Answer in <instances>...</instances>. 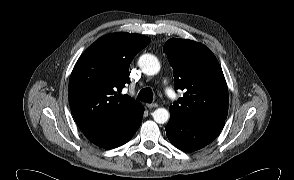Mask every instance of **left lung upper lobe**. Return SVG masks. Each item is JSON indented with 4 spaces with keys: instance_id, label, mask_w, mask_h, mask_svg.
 <instances>
[{
    "instance_id": "obj_1",
    "label": "left lung upper lobe",
    "mask_w": 294,
    "mask_h": 180,
    "mask_svg": "<svg viewBox=\"0 0 294 180\" xmlns=\"http://www.w3.org/2000/svg\"><path fill=\"white\" fill-rule=\"evenodd\" d=\"M163 51L173 67L175 89L185 91L170 112L188 122H225L228 89L214 54L200 43L176 38L169 39Z\"/></svg>"
}]
</instances>
